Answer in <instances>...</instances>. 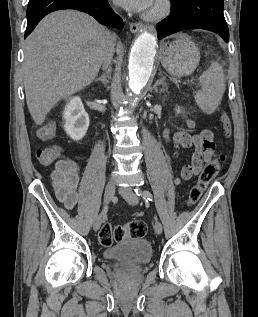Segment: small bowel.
I'll return each instance as SVG.
<instances>
[{
    "instance_id": "obj_1",
    "label": "small bowel",
    "mask_w": 258,
    "mask_h": 317,
    "mask_svg": "<svg viewBox=\"0 0 258 317\" xmlns=\"http://www.w3.org/2000/svg\"><path fill=\"white\" fill-rule=\"evenodd\" d=\"M186 124L189 129L194 130L195 124L192 120H186ZM54 134L55 126L51 122L41 126L37 131V136L42 141L50 140ZM162 136L166 143H171L175 148V156L178 155L180 149H194L191 162L183 166L180 177H176L174 180L175 184H180L182 180H188L198 175L203 165L209 162L216 154L214 134L209 129L192 134L184 131L171 134L170 129L166 128ZM52 183L59 201L67 209H73L78 202L80 183L77 163L70 159L58 160L52 172Z\"/></svg>"
}]
</instances>
